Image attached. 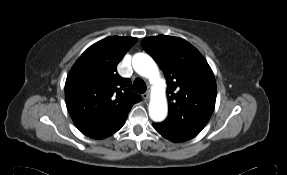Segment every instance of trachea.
Listing matches in <instances>:
<instances>
[{
    "label": "trachea",
    "instance_id": "3493384b",
    "mask_svg": "<svg viewBox=\"0 0 287 175\" xmlns=\"http://www.w3.org/2000/svg\"><path fill=\"white\" fill-rule=\"evenodd\" d=\"M133 85H134V91L140 94L144 93L147 89L146 83L140 78H136L134 80Z\"/></svg>",
    "mask_w": 287,
    "mask_h": 175
}]
</instances>
